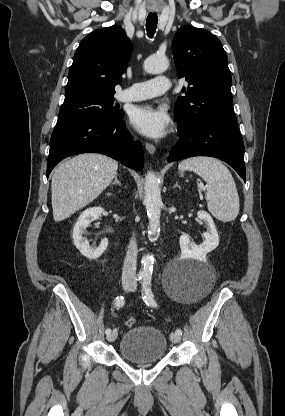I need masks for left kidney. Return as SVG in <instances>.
Segmentation results:
<instances>
[{"label": "left kidney", "mask_w": 285, "mask_h": 416, "mask_svg": "<svg viewBox=\"0 0 285 416\" xmlns=\"http://www.w3.org/2000/svg\"><path fill=\"white\" fill-rule=\"evenodd\" d=\"M197 216L200 218V220H204L208 226V232H204L203 234L205 238L203 244L197 246V244H194V242H190V238L187 236V234H182V236H180L179 244L182 252L187 254V256H194V258H204L206 254H209V252H212V250H215V248L219 246V236L217 234L215 224L207 212L200 210V212H197Z\"/></svg>", "instance_id": "1"}]
</instances>
